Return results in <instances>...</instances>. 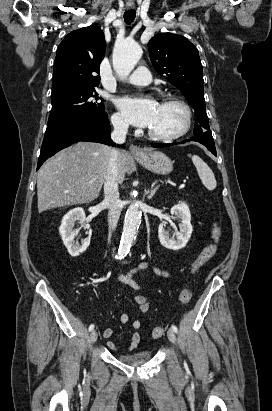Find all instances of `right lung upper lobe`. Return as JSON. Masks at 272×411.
<instances>
[{"label": "right lung upper lobe", "instance_id": "right-lung-upper-lobe-1", "mask_svg": "<svg viewBox=\"0 0 272 411\" xmlns=\"http://www.w3.org/2000/svg\"><path fill=\"white\" fill-rule=\"evenodd\" d=\"M105 49L104 33L95 25L69 33L57 49L51 97L69 90L97 87Z\"/></svg>", "mask_w": 272, "mask_h": 411}]
</instances>
